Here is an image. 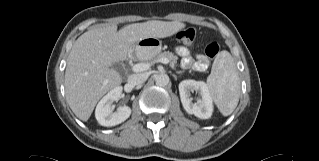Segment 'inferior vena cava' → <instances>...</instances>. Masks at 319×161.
Masks as SVG:
<instances>
[{"label": "inferior vena cava", "instance_id": "602c4592", "mask_svg": "<svg viewBox=\"0 0 319 161\" xmlns=\"http://www.w3.org/2000/svg\"><path fill=\"white\" fill-rule=\"evenodd\" d=\"M148 76L145 73L132 74L128 77V83L131 85H139L147 80Z\"/></svg>", "mask_w": 319, "mask_h": 161}]
</instances>
